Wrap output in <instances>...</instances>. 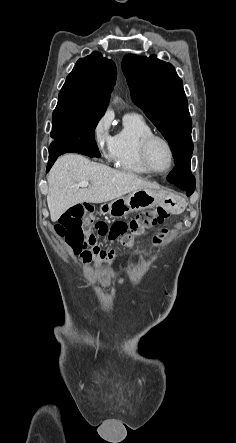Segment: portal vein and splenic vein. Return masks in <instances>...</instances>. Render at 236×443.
Returning a JSON list of instances; mask_svg holds the SVG:
<instances>
[{
	"label": "portal vein and splenic vein",
	"instance_id": "1",
	"mask_svg": "<svg viewBox=\"0 0 236 443\" xmlns=\"http://www.w3.org/2000/svg\"><path fill=\"white\" fill-rule=\"evenodd\" d=\"M88 185H89V182H88V181H81V182L75 184L73 187H74V188H79V187L85 188V187H87Z\"/></svg>",
	"mask_w": 236,
	"mask_h": 443
}]
</instances>
